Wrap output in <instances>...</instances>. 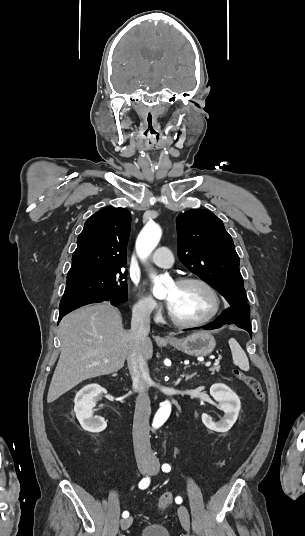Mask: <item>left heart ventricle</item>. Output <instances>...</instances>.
<instances>
[{
  "instance_id": "b2bd125f",
  "label": "left heart ventricle",
  "mask_w": 305,
  "mask_h": 536,
  "mask_svg": "<svg viewBox=\"0 0 305 536\" xmlns=\"http://www.w3.org/2000/svg\"><path fill=\"white\" fill-rule=\"evenodd\" d=\"M165 298L176 314L188 320L205 319L216 308L213 293L199 284H174L166 292Z\"/></svg>"
}]
</instances>
